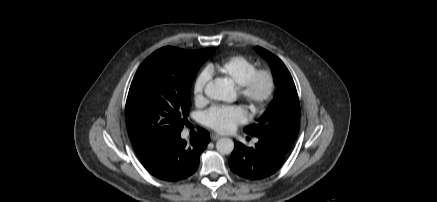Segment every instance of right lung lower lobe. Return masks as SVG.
Listing matches in <instances>:
<instances>
[{
  "mask_svg": "<svg viewBox=\"0 0 437 202\" xmlns=\"http://www.w3.org/2000/svg\"><path fill=\"white\" fill-rule=\"evenodd\" d=\"M180 133H174L139 154L143 166L160 180L177 182L193 175L198 168L200 154L210 142L208 132L202 128L190 143L181 139Z\"/></svg>",
  "mask_w": 437,
  "mask_h": 202,
  "instance_id": "right-lung-lower-lobe-1",
  "label": "right lung lower lobe"
}]
</instances>
